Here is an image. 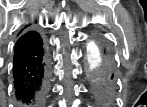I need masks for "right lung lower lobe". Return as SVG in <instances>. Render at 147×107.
Listing matches in <instances>:
<instances>
[{
    "label": "right lung lower lobe",
    "instance_id": "obj_1",
    "mask_svg": "<svg viewBox=\"0 0 147 107\" xmlns=\"http://www.w3.org/2000/svg\"><path fill=\"white\" fill-rule=\"evenodd\" d=\"M13 77L18 107H41L49 70L43 41L36 31L22 34L14 48Z\"/></svg>",
    "mask_w": 147,
    "mask_h": 107
}]
</instances>
